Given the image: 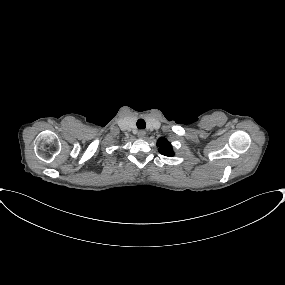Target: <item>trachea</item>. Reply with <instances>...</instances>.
Here are the masks:
<instances>
[{"label":"trachea","instance_id":"trachea-1","mask_svg":"<svg viewBox=\"0 0 285 285\" xmlns=\"http://www.w3.org/2000/svg\"><path fill=\"white\" fill-rule=\"evenodd\" d=\"M138 129H145L146 123L143 119H139L136 123Z\"/></svg>","mask_w":285,"mask_h":285}]
</instances>
